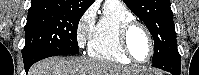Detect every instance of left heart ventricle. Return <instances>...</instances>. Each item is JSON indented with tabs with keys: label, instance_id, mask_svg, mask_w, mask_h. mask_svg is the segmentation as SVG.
<instances>
[{
	"label": "left heart ventricle",
	"instance_id": "left-heart-ventricle-1",
	"mask_svg": "<svg viewBox=\"0 0 199 75\" xmlns=\"http://www.w3.org/2000/svg\"><path fill=\"white\" fill-rule=\"evenodd\" d=\"M129 49L138 61L145 60L150 52L148 38L143 30L134 28L128 39Z\"/></svg>",
	"mask_w": 199,
	"mask_h": 75
}]
</instances>
